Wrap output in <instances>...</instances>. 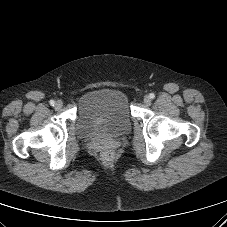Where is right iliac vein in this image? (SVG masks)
Returning <instances> with one entry per match:
<instances>
[{
	"mask_svg": "<svg viewBox=\"0 0 227 227\" xmlns=\"http://www.w3.org/2000/svg\"><path fill=\"white\" fill-rule=\"evenodd\" d=\"M63 106V102L61 100H58L56 103H55V108L57 110L61 109Z\"/></svg>",
	"mask_w": 227,
	"mask_h": 227,
	"instance_id": "63e3f726",
	"label": "right iliac vein"
}]
</instances>
